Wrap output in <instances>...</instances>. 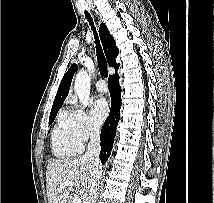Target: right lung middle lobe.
<instances>
[{"label":"right lung middle lobe","instance_id":"right-lung-middle-lobe-1","mask_svg":"<svg viewBox=\"0 0 214 203\" xmlns=\"http://www.w3.org/2000/svg\"><path fill=\"white\" fill-rule=\"evenodd\" d=\"M55 117H56V114L51 115V116L49 117V125H51V124L53 123Z\"/></svg>","mask_w":214,"mask_h":203}]
</instances>
